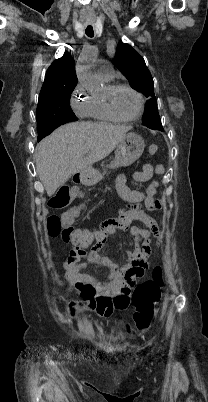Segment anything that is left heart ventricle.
<instances>
[{"label": "left heart ventricle", "instance_id": "1", "mask_svg": "<svg viewBox=\"0 0 208 402\" xmlns=\"http://www.w3.org/2000/svg\"><path fill=\"white\" fill-rule=\"evenodd\" d=\"M114 107L123 117H132L137 114L140 106L138 97L127 89H120L114 95Z\"/></svg>", "mask_w": 208, "mask_h": 402}]
</instances>
